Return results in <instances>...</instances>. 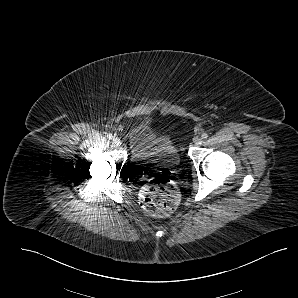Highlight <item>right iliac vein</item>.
I'll use <instances>...</instances> for the list:
<instances>
[{"label": "right iliac vein", "instance_id": "right-iliac-vein-1", "mask_svg": "<svg viewBox=\"0 0 298 298\" xmlns=\"http://www.w3.org/2000/svg\"><path fill=\"white\" fill-rule=\"evenodd\" d=\"M113 143L116 145V146H120L122 144L121 140L119 138H114L113 139Z\"/></svg>", "mask_w": 298, "mask_h": 298}]
</instances>
